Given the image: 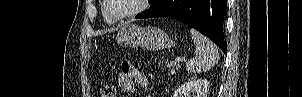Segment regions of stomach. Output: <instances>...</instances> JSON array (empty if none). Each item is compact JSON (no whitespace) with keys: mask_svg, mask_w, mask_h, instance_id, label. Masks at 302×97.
Returning <instances> with one entry per match:
<instances>
[{"mask_svg":"<svg viewBox=\"0 0 302 97\" xmlns=\"http://www.w3.org/2000/svg\"><path fill=\"white\" fill-rule=\"evenodd\" d=\"M117 43L125 47H143L150 51L170 49L176 42L157 27H140L135 24L124 25L117 37Z\"/></svg>","mask_w":302,"mask_h":97,"instance_id":"0dacf381","label":"stomach"}]
</instances>
